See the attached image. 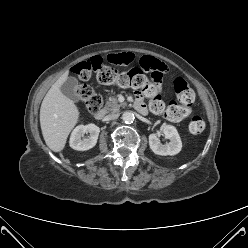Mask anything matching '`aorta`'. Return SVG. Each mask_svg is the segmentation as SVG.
I'll return each mask as SVG.
<instances>
[{
	"label": "aorta",
	"mask_w": 248,
	"mask_h": 248,
	"mask_svg": "<svg viewBox=\"0 0 248 248\" xmlns=\"http://www.w3.org/2000/svg\"><path fill=\"white\" fill-rule=\"evenodd\" d=\"M135 119V116L133 114V112L131 111H126L122 114V120L125 122V123H132Z\"/></svg>",
	"instance_id": "1"
}]
</instances>
